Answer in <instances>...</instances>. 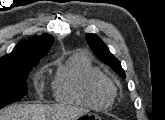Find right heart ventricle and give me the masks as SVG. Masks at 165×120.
Instances as JSON below:
<instances>
[{
	"label": "right heart ventricle",
	"mask_w": 165,
	"mask_h": 120,
	"mask_svg": "<svg viewBox=\"0 0 165 120\" xmlns=\"http://www.w3.org/2000/svg\"><path fill=\"white\" fill-rule=\"evenodd\" d=\"M58 101L105 108L115 97L113 83L82 52H76L58 64L52 83Z\"/></svg>",
	"instance_id": "obj_1"
}]
</instances>
